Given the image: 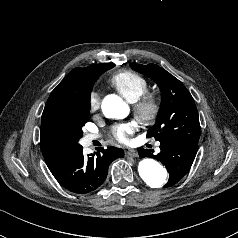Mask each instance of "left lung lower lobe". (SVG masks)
<instances>
[{
    "mask_svg": "<svg viewBox=\"0 0 238 238\" xmlns=\"http://www.w3.org/2000/svg\"><path fill=\"white\" fill-rule=\"evenodd\" d=\"M161 152L154 156L150 150L139 152L140 157L148 156L160 161L169 172V180L164 188L180 181L189 171L198 150V141L165 140L160 145Z\"/></svg>",
    "mask_w": 238,
    "mask_h": 238,
    "instance_id": "0a47b994",
    "label": "left lung lower lobe"
}]
</instances>
